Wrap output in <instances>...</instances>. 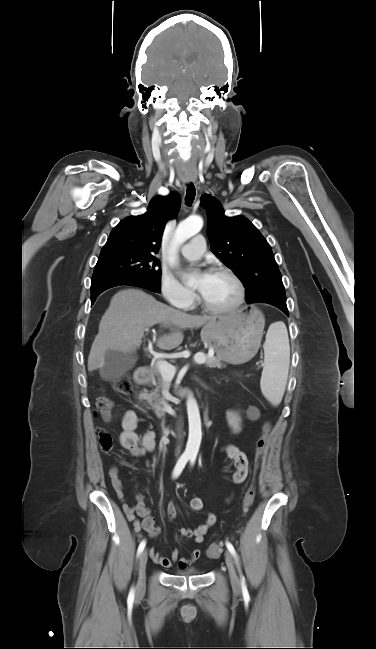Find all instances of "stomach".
Listing matches in <instances>:
<instances>
[{"label":"stomach","instance_id":"0dacf381","mask_svg":"<svg viewBox=\"0 0 376 649\" xmlns=\"http://www.w3.org/2000/svg\"><path fill=\"white\" fill-rule=\"evenodd\" d=\"M263 329L264 317L254 309L249 314L232 313L208 322L201 331V340L214 348L220 360L239 364L255 356Z\"/></svg>","mask_w":376,"mask_h":649}]
</instances>
